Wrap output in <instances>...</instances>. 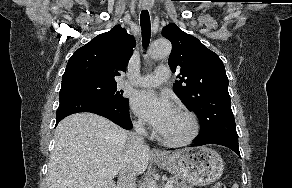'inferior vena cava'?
<instances>
[{
    "label": "inferior vena cava",
    "mask_w": 292,
    "mask_h": 188,
    "mask_svg": "<svg viewBox=\"0 0 292 188\" xmlns=\"http://www.w3.org/2000/svg\"><path fill=\"white\" fill-rule=\"evenodd\" d=\"M134 131L128 133L127 142L131 150L144 147V136L147 132L141 121L133 123ZM116 188H136V173L130 162L120 168Z\"/></svg>",
    "instance_id": "602c4592"
}]
</instances>
